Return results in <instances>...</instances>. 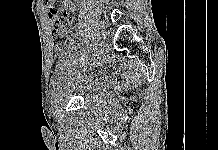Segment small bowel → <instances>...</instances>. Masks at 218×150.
I'll return each instance as SVG.
<instances>
[{
	"label": "small bowel",
	"instance_id": "1",
	"mask_svg": "<svg viewBox=\"0 0 218 150\" xmlns=\"http://www.w3.org/2000/svg\"><path fill=\"white\" fill-rule=\"evenodd\" d=\"M48 18L52 26V35L56 30H70L74 21L75 5L73 0H63L61 7L56 8V0H45Z\"/></svg>",
	"mask_w": 218,
	"mask_h": 150
}]
</instances>
